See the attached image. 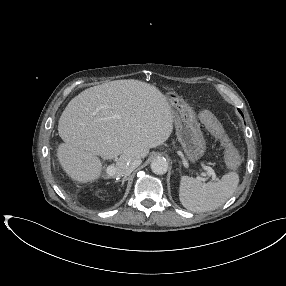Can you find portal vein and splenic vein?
Listing matches in <instances>:
<instances>
[{"mask_svg": "<svg viewBox=\"0 0 286 286\" xmlns=\"http://www.w3.org/2000/svg\"><path fill=\"white\" fill-rule=\"evenodd\" d=\"M203 169L207 171V176L212 177V180H214V181H217V180H218V178L216 177V174H215L214 170H213L211 167H209V166H204ZM115 171H116V170H115V167L112 166V165H109V166L107 167V169H106V172H107V174H109V175H113V174L115 173ZM204 176H206V174H204ZM206 180H207V178H202V181L205 182Z\"/></svg>", "mask_w": 286, "mask_h": 286, "instance_id": "18ae733b", "label": "portal vein and splenic vein"}]
</instances>
